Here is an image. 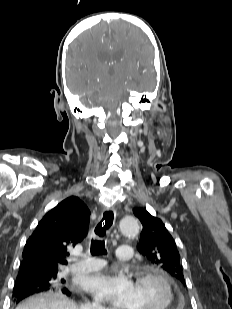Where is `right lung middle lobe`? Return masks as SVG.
<instances>
[{
  "label": "right lung middle lobe",
  "mask_w": 232,
  "mask_h": 309,
  "mask_svg": "<svg viewBox=\"0 0 232 309\" xmlns=\"http://www.w3.org/2000/svg\"><path fill=\"white\" fill-rule=\"evenodd\" d=\"M58 269L51 271H42L37 274L26 271H19L16 281H34L39 285L50 288H59L65 286V280L58 277Z\"/></svg>",
  "instance_id": "obj_1"
}]
</instances>
